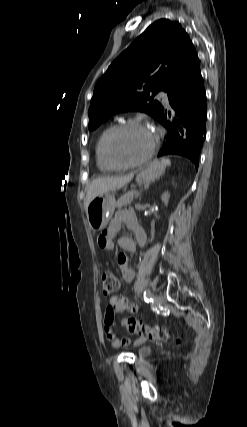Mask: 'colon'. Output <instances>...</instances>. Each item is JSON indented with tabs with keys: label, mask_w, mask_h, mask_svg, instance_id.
Returning <instances> with one entry per match:
<instances>
[{
	"label": "colon",
	"mask_w": 247,
	"mask_h": 427,
	"mask_svg": "<svg viewBox=\"0 0 247 427\" xmlns=\"http://www.w3.org/2000/svg\"><path fill=\"white\" fill-rule=\"evenodd\" d=\"M119 288V280L116 275L106 272L102 276V291L105 295H110L117 291ZM126 329L134 334H139L142 339H150L156 341H166L173 335L171 331L166 328L150 326L135 317H128L123 322ZM182 337H178L180 342Z\"/></svg>",
	"instance_id": "colon-1"
}]
</instances>
